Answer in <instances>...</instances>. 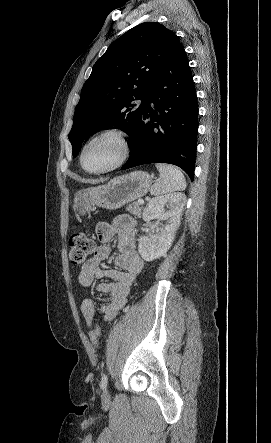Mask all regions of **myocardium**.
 <instances>
[{
    "label": "myocardium",
    "instance_id": "obj_1",
    "mask_svg": "<svg viewBox=\"0 0 271 443\" xmlns=\"http://www.w3.org/2000/svg\"><path fill=\"white\" fill-rule=\"evenodd\" d=\"M115 135L118 140L120 141L121 144V154L120 157L118 158V160L113 163L112 165L101 169V170H88L85 168L84 164H83V153L85 148L87 147V145L92 142L93 140L105 136V135ZM132 153V143L129 137L128 132L118 126H110V127H106L98 132H96L95 134H93L82 146L80 153H79V164L80 167L82 168V170L88 174H103V173H107L110 172L112 170H115L117 168H119L120 166H122L124 163H126L128 161V159L130 158Z\"/></svg>",
    "mask_w": 271,
    "mask_h": 443
}]
</instances>
